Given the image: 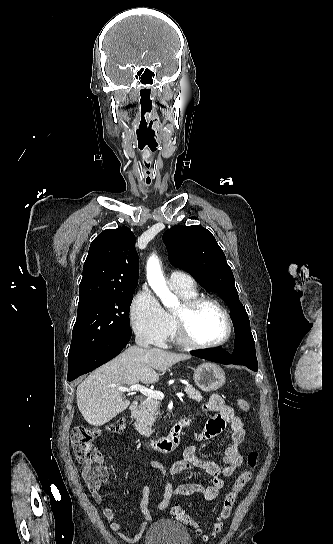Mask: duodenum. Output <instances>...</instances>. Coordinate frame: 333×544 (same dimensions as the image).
I'll return each instance as SVG.
<instances>
[{
  "label": "duodenum",
  "instance_id": "1",
  "mask_svg": "<svg viewBox=\"0 0 333 544\" xmlns=\"http://www.w3.org/2000/svg\"><path fill=\"white\" fill-rule=\"evenodd\" d=\"M137 408L138 402L133 401L129 407L131 413H135ZM184 429L185 419L178 421L166 436L155 437L148 440L146 446L150 450L164 453L170 452L180 444Z\"/></svg>",
  "mask_w": 333,
  "mask_h": 544
}]
</instances>
